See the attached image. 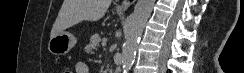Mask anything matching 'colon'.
Segmentation results:
<instances>
[{"label":"colon","instance_id":"1","mask_svg":"<svg viewBox=\"0 0 244 73\" xmlns=\"http://www.w3.org/2000/svg\"><path fill=\"white\" fill-rule=\"evenodd\" d=\"M62 73H70V71L68 69H64Z\"/></svg>","mask_w":244,"mask_h":73}]
</instances>
